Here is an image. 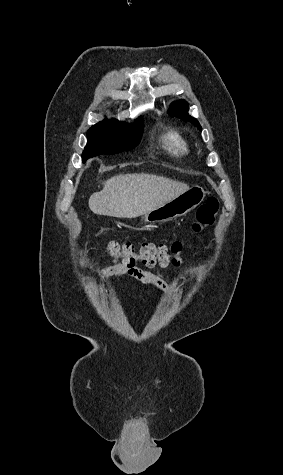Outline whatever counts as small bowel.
<instances>
[{"mask_svg": "<svg viewBox=\"0 0 283 475\" xmlns=\"http://www.w3.org/2000/svg\"><path fill=\"white\" fill-rule=\"evenodd\" d=\"M201 272L202 268H199L197 274H200ZM97 276L102 279L116 276H128L143 284L150 285L168 296H171L174 292L173 287L163 277L141 268L130 266L124 262H117L99 269L97 271Z\"/></svg>", "mask_w": 283, "mask_h": 475, "instance_id": "obj_1", "label": "small bowel"}]
</instances>
